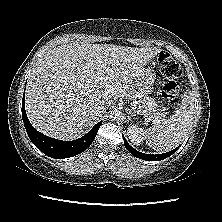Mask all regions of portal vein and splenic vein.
<instances>
[{"mask_svg": "<svg viewBox=\"0 0 222 222\" xmlns=\"http://www.w3.org/2000/svg\"><path fill=\"white\" fill-rule=\"evenodd\" d=\"M102 80H103V77H99V78L96 79L95 81H96V82H99V81H102ZM131 105H132V107H136L135 104H132V103H131ZM150 119H151V118H148V121H150ZM154 121H155V122H158V119H157V118H154Z\"/></svg>", "mask_w": 222, "mask_h": 222, "instance_id": "obj_1", "label": "portal vein and splenic vein"}]
</instances>
